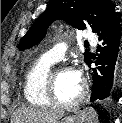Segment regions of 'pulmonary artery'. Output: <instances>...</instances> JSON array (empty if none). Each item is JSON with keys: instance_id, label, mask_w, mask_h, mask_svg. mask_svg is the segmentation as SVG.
Listing matches in <instances>:
<instances>
[{"instance_id": "obj_1", "label": "pulmonary artery", "mask_w": 122, "mask_h": 123, "mask_svg": "<svg viewBox=\"0 0 122 123\" xmlns=\"http://www.w3.org/2000/svg\"><path fill=\"white\" fill-rule=\"evenodd\" d=\"M85 39L88 40L92 44H95L97 41L96 36L90 32L86 33ZM66 50H67V45H66V43L62 42V43L56 44L50 50H48L45 53V56L48 57L49 59L57 62L64 57Z\"/></svg>"}]
</instances>
